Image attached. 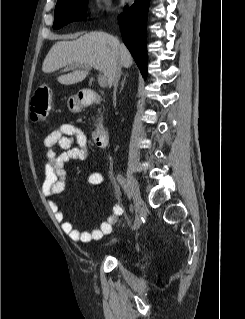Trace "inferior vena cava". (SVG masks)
Masks as SVG:
<instances>
[{
  "label": "inferior vena cava",
  "instance_id": "1",
  "mask_svg": "<svg viewBox=\"0 0 245 319\" xmlns=\"http://www.w3.org/2000/svg\"><path fill=\"white\" fill-rule=\"evenodd\" d=\"M120 76H121V65L119 64L114 73H113V79H112V83H113V86H114V96L116 95V90H117V86H118V82H119V79H120Z\"/></svg>",
  "mask_w": 245,
  "mask_h": 319
}]
</instances>
